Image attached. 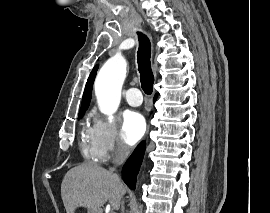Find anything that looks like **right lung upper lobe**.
<instances>
[{"instance_id":"right-lung-upper-lobe-1","label":"right lung upper lobe","mask_w":270,"mask_h":213,"mask_svg":"<svg viewBox=\"0 0 270 213\" xmlns=\"http://www.w3.org/2000/svg\"><path fill=\"white\" fill-rule=\"evenodd\" d=\"M96 71H97V66L90 73V76H89L88 81L86 83L80 112H84L89 106V103L91 100L92 85H93V81H94V78L96 75Z\"/></svg>"}]
</instances>
